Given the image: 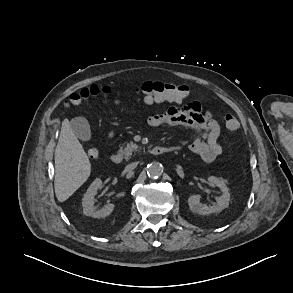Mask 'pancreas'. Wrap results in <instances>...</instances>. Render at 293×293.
Listing matches in <instances>:
<instances>
[{
	"label": "pancreas",
	"mask_w": 293,
	"mask_h": 293,
	"mask_svg": "<svg viewBox=\"0 0 293 293\" xmlns=\"http://www.w3.org/2000/svg\"><path fill=\"white\" fill-rule=\"evenodd\" d=\"M138 150V145H136L133 141H130L120 151L124 155L125 159L128 160L132 156V154L137 152Z\"/></svg>",
	"instance_id": "1"
}]
</instances>
